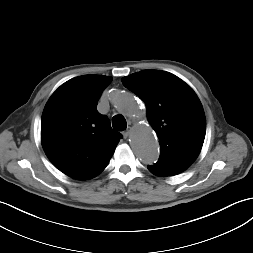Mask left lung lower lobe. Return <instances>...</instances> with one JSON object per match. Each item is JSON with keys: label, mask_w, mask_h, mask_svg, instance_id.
<instances>
[{"label": "left lung lower lobe", "mask_w": 253, "mask_h": 253, "mask_svg": "<svg viewBox=\"0 0 253 253\" xmlns=\"http://www.w3.org/2000/svg\"><path fill=\"white\" fill-rule=\"evenodd\" d=\"M148 169L150 172L158 176H173L182 172L181 170L163 168L156 165L148 166Z\"/></svg>", "instance_id": "1"}]
</instances>
